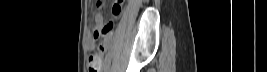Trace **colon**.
<instances>
[{
  "label": "colon",
  "instance_id": "5ec220e1",
  "mask_svg": "<svg viewBox=\"0 0 267 72\" xmlns=\"http://www.w3.org/2000/svg\"><path fill=\"white\" fill-rule=\"evenodd\" d=\"M119 3L120 2H118V1L115 2L114 11H116V12L119 11ZM115 25H116V20L110 21L109 23H107L106 26L104 27L105 33L111 34L115 28ZM99 50H100L99 53H96L89 58L88 69L90 72H100L102 69V56H101V53L103 52V46L102 45L100 46Z\"/></svg>",
  "mask_w": 267,
  "mask_h": 72
}]
</instances>
